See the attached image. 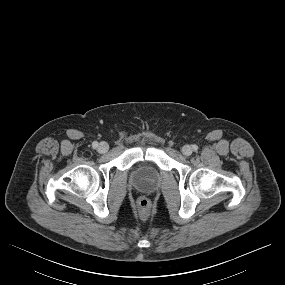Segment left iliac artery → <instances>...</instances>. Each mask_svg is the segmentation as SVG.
Instances as JSON below:
<instances>
[{
  "label": "left iliac artery",
  "mask_w": 285,
  "mask_h": 285,
  "mask_svg": "<svg viewBox=\"0 0 285 285\" xmlns=\"http://www.w3.org/2000/svg\"><path fill=\"white\" fill-rule=\"evenodd\" d=\"M192 149H193L194 151H197V150H198V146H197V145H192Z\"/></svg>",
  "instance_id": "left-iliac-artery-1"
}]
</instances>
